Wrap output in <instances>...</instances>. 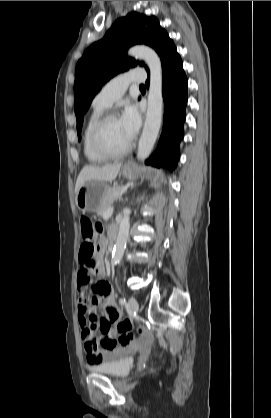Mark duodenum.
Instances as JSON below:
<instances>
[{
  "instance_id": "duodenum-1",
  "label": "duodenum",
  "mask_w": 271,
  "mask_h": 418,
  "mask_svg": "<svg viewBox=\"0 0 271 418\" xmlns=\"http://www.w3.org/2000/svg\"><path fill=\"white\" fill-rule=\"evenodd\" d=\"M117 241V230L113 229L110 234V248H113Z\"/></svg>"
}]
</instances>
